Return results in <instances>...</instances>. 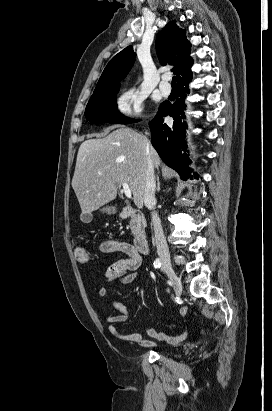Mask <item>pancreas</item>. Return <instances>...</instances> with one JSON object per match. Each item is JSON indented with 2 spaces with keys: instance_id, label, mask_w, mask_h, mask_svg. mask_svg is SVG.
I'll return each instance as SVG.
<instances>
[{
  "instance_id": "obj_1",
  "label": "pancreas",
  "mask_w": 272,
  "mask_h": 411,
  "mask_svg": "<svg viewBox=\"0 0 272 411\" xmlns=\"http://www.w3.org/2000/svg\"><path fill=\"white\" fill-rule=\"evenodd\" d=\"M129 226L133 234L142 233L146 227V220L142 214H138L130 220Z\"/></svg>"
}]
</instances>
